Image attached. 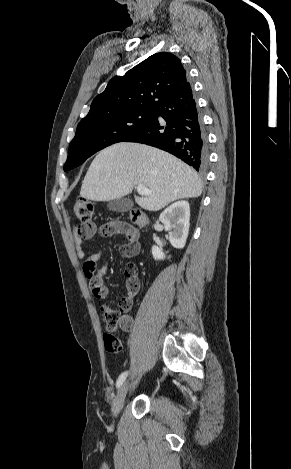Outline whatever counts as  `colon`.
Listing matches in <instances>:
<instances>
[{
	"label": "colon",
	"instance_id": "obj_1",
	"mask_svg": "<svg viewBox=\"0 0 291 469\" xmlns=\"http://www.w3.org/2000/svg\"><path fill=\"white\" fill-rule=\"evenodd\" d=\"M72 212L75 218L80 221L79 229L82 233L89 231V226L92 223L94 213L93 204L84 198L78 199L73 205ZM130 219L132 222L144 225L147 221L145 214L139 208H133L130 211ZM133 251L132 246L127 243L121 247L123 254H128ZM127 276V293L124 298L119 302L118 309H105L103 310L104 322L107 332L103 334V343L105 350L109 353L117 354L121 351V341L113 334L118 328L123 330H130L132 327V319L125 315L131 309L133 298L138 292V268L133 263H128L125 267Z\"/></svg>",
	"mask_w": 291,
	"mask_h": 469
}]
</instances>
